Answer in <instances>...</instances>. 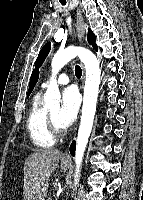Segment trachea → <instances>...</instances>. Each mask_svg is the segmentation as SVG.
Segmentation results:
<instances>
[{
  "label": "trachea",
  "mask_w": 143,
  "mask_h": 200,
  "mask_svg": "<svg viewBox=\"0 0 143 200\" xmlns=\"http://www.w3.org/2000/svg\"><path fill=\"white\" fill-rule=\"evenodd\" d=\"M61 4H62V5H65L66 2H65V1H61ZM75 75H76V77H77L78 79L81 78L82 70H81L80 66H78V65L75 66Z\"/></svg>",
  "instance_id": "1"
}]
</instances>
